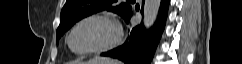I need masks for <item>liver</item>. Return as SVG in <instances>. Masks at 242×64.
Masks as SVG:
<instances>
[{"label": "liver", "instance_id": "liver-1", "mask_svg": "<svg viewBox=\"0 0 242 64\" xmlns=\"http://www.w3.org/2000/svg\"><path fill=\"white\" fill-rule=\"evenodd\" d=\"M100 61L101 63H108V64H115L116 62L114 60L108 59V58H95L92 60V62H98Z\"/></svg>", "mask_w": 242, "mask_h": 64}]
</instances>
